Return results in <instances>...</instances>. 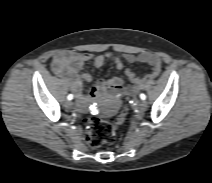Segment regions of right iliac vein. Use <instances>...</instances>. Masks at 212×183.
Listing matches in <instances>:
<instances>
[{
  "label": "right iliac vein",
  "instance_id": "right-iliac-vein-1",
  "mask_svg": "<svg viewBox=\"0 0 212 183\" xmlns=\"http://www.w3.org/2000/svg\"><path fill=\"white\" fill-rule=\"evenodd\" d=\"M65 107H66L67 109H72V107H73L72 101L67 100V101L65 102Z\"/></svg>",
  "mask_w": 212,
  "mask_h": 183
}]
</instances>
